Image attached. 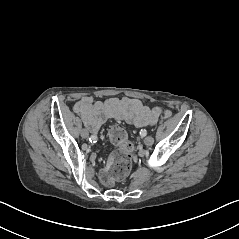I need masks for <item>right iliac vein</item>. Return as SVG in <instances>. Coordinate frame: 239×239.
I'll use <instances>...</instances> for the list:
<instances>
[{
  "label": "right iliac vein",
  "instance_id": "63e3f726",
  "mask_svg": "<svg viewBox=\"0 0 239 239\" xmlns=\"http://www.w3.org/2000/svg\"><path fill=\"white\" fill-rule=\"evenodd\" d=\"M81 136H82L83 138H88L89 132H88L86 129H82V130H81Z\"/></svg>",
  "mask_w": 239,
  "mask_h": 239
}]
</instances>
